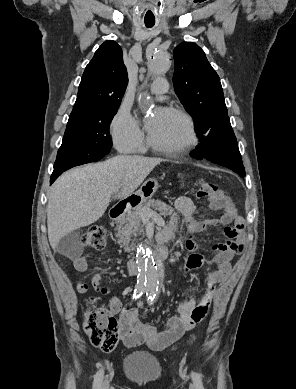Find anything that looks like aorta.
Returning <instances> with one entry per match:
<instances>
[{"label": "aorta", "mask_w": 296, "mask_h": 389, "mask_svg": "<svg viewBox=\"0 0 296 389\" xmlns=\"http://www.w3.org/2000/svg\"><path fill=\"white\" fill-rule=\"evenodd\" d=\"M170 64V53L167 49L156 48L151 52L148 60V68L153 75L165 74ZM137 258L141 269L138 284L145 286L151 293H154L162 278V265L156 259L152 249L147 245L139 246L137 249Z\"/></svg>", "instance_id": "762f6f07"}]
</instances>
